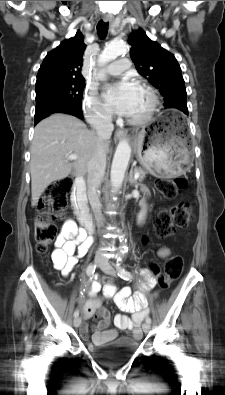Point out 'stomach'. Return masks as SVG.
<instances>
[{"instance_id":"obj_1","label":"stomach","mask_w":225,"mask_h":395,"mask_svg":"<svg viewBox=\"0 0 225 395\" xmlns=\"http://www.w3.org/2000/svg\"><path fill=\"white\" fill-rule=\"evenodd\" d=\"M140 164L154 175L173 178L186 172L191 162L188 137L178 116L160 113L145 125L136 137Z\"/></svg>"}]
</instances>
